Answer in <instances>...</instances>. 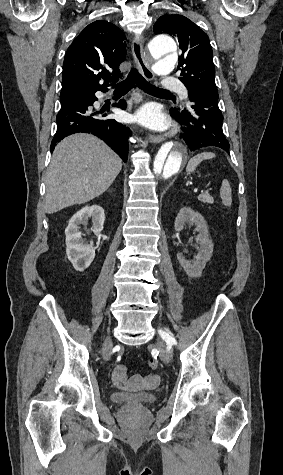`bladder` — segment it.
<instances>
[{
  "label": "bladder",
  "mask_w": 283,
  "mask_h": 475,
  "mask_svg": "<svg viewBox=\"0 0 283 475\" xmlns=\"http://www.w3.org/2000/svg\"><path fill=\"white\" fill-rule=\"evenodd\" d=\"M109 396L115 400L123 402L125 405L147 406L155 403L158 399L157 394L140 395L132 392L118 393L110 392Z\"/></svg>",
  "instance_id": "obj_1"
}]
</instances>
